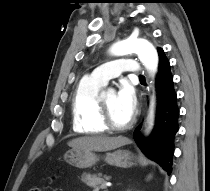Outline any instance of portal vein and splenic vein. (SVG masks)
<instances>
[{
    "mask_svg": "<svg viewBox=\"0 0 210 191\" xmlns=\"http://www.w3.org/2000/svg\"><path fill=\"white\" fill-rule=\"evenodd\" d=\"M106 186H108V187H109V186H111V184H106Z\"/></svg>",
    "mask_w": 210,
    "mask_h": 191,
    "instance_id": "18ae733b",
    "label": "portal vein and splenic vein"
}]
</instances>
